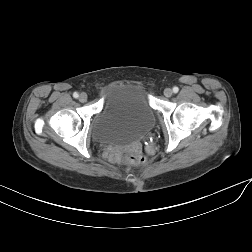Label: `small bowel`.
I'll list each match as a JSON object with an SVG mask.
<instances>
[{"label":"small bowel","instance_id":"obj_1","mask_svg":"<svg viewBox=\"0 0 252 252\" xmlns=\"http://www.w3.org/2000/svg\"><path fill=\"white\" fill-rule=\"evenodd\" d=\"M114 156H115V157H117V156H118V153H117V152H115V153H114Z\"/></svg>","mask_w":252,"mask_h":252}]
</instances>
